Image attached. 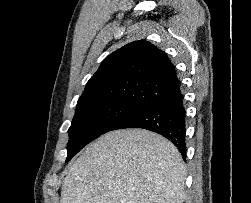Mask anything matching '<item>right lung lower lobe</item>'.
Listing matches in <instances>:
<instances>
[{"mask_svg": "<svg viewBox=\"0 0 251 203\" xmlns=\"http://www.w3.org/2000/svg\"><path fill=\"white\" fill-rule=\"evenodd\" d=\"M142 128L169 139L186 158V111L180 89L138 111L117 124L114 130Z\"/></svg>", "mask_w": 251, "mask_h": 203, "instance_id": "obj_1", "label": "right lung lower lobe"}]
</instances>
